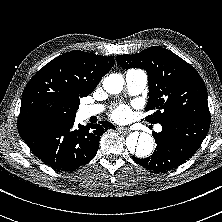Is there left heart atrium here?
Masks as SVG:
<instances>
[{"instance_id":"39dd6f15","label":"left heart atrium","mask_w":222,"mask_h":222,"mask_svg":"<svg viewBox=\"0 0 222 222\" xmlns=\"http://www.w3.org/2000/svg\"><path fill=\"white\" fill-rule=\"evenodd\" d=\"M131 116V111L128 106L120 105L111 114V117L117 122L127 121Z\"/></svg>"}]
</instances>
